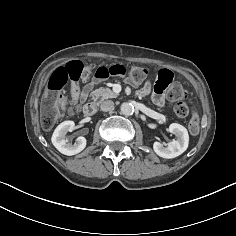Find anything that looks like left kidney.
Instances as JSON below:
<instances>
[{"label": "left kidney", "instance_id": "left-kidney-1", "mask_svg": "<svg viewBox=\"0 0 236 236\" xmlns=\"http://www.w3.org/2000/svg\"><path fill=\"white\" fill-rule=\"evenodd\" d=\"M169 132L174 134L177 139L168 143L167 147L160 142H154L153 149L155 153L162 158H175L181 155L187 148L189 143V135L187 129L177 123H172L169 126Z\"/></svg>", "mask_w": 236, "mask_h": 236}]
</instances>
